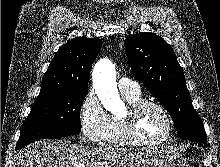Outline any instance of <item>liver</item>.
I'll list each match as a JSON object with an SVG mask.
<instances>
[{"label": "liver", "mask_w": 220, "mask_h": 167, "mask_svg": "<svg viewBox=\"0 0 220 167\" xmlns=\"http://www.w3.org/2000/svg\"><path fill=\"white\" fill-rule=\"evenodd\" d=\"M127 151L43 139L19 151L17 167H113Z\"/></svg>", "instance_id": "liver-1"}]
</instances>
